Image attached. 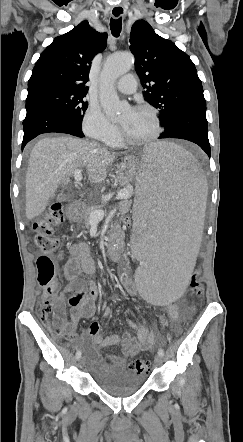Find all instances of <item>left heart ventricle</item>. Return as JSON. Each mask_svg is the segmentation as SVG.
I'll return each mask as SVG.
<instances>
[{"label": "left heart ventricle", "mask_w": 243, "mask_h": 442, "mask_svg": "<svg viewBox=\"0 0 243 442\" xmlns=\"http://www.w3.org/2000/svg\"><path fill=\"white\" fill-rule=\"evenodd\" d=\"M125 135L132 140H141L155 131V120L149 111L129 110L119 122Z\"/></svg>", "instance_id": "1"}]
</instances>
